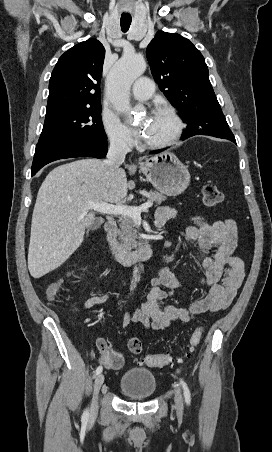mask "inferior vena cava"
Here are the masks:
<instances>
[{"mask_svg": "<svg viewBox=\"0 0 272 452\" xmlns=\"http://www.w3.org/2000/svg\"><path fill=\"white\" fill-rule=\"evenodd\" d=\"M130 148L121 137H112L110 139V147L107 153V160L105 164L109 167L111 171H115L124 162L126 154L129 152Z\"/></svg>", "mask_w": 272, "mask_h": 452, "instance_id": "602c4592", "label": "inferior vena cava"}]
</instances>
